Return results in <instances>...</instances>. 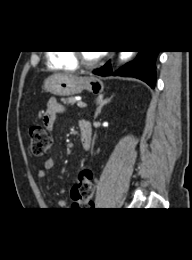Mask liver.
Returning a JSON list of instances; mask_svg holds the SVG:
<instances>
[{
    "mask_svg": "<svg viewBox=\"0 0 192 260\" xmlns=\"http://www.w3.org/2000/svg\"><path fill=\"white\" fill-rule=\"evenodd\" d=\"M60 75L67 76V77H73V75H71V74H60Z\"/></svg>",
    "mask_w": 192,
    "mask_h": 260,
    "instance_id": "1",
    "label": "liver"
}]
</instances>
